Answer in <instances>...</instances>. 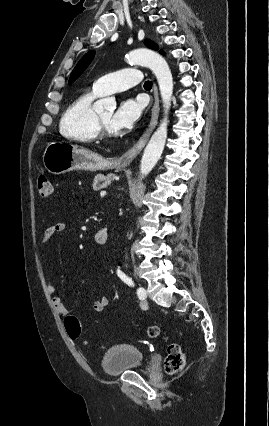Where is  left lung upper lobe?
Masks as SVG:
<instances>
[{
    "label": "left lung upper lobe",
    "mask_w": 269,
    "mask_h": 426,
    "mask_svg": "<svg viewBox=\"0 0 269 426\" xmlns=\"http://www.w3.org/2000/svg\"><path fill=\"white\" fill-rule=\"evenodd\" d=\"M145 44L147 47L151 49H154V50L158 49V46L155 43H153L151 40H146ZM94 55H95V51H89L82 57V59L78 62V64L72 71L70 79H69V83L74 82L83 73V71L88 67V65L93 60Z\"/></svg>",
    "instance_id": "1"
}]
</instances>
